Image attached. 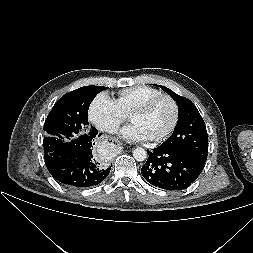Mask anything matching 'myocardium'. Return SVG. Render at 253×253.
<instances>
[{
    "label": "myocardium",
    "mask_w": 253,
    "mask_h": 253,
    "mask_svg": "<svg viewBox=\"0 0 253 253\" xmlns=\"http://www.w3.org/2000/svg\"><path fill=\"white\" fill-rule=\"evenodd\" d=\"M163 99H167L173 107V120L170 124V126L168 127V129L162 133L160 136L155 137V138H151L152 141L154 142H162L165 139H167L176 129L178 122H179V118H180V110H179V106L177 101L168 94H159L157 96H154L148 100H146L145 102H143L141 105H139L136 109H134L131 114H130V119L132 120V118L136 115H141L144 114L146 112H148L158 101L163 100Z\"/></svg>",
    "instance_id": "f54148a6"
}]
</instances>
